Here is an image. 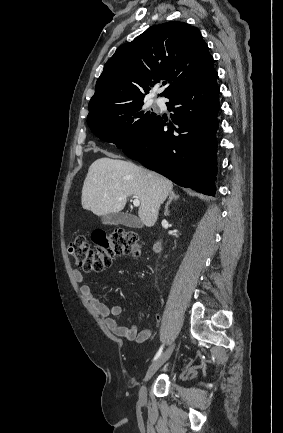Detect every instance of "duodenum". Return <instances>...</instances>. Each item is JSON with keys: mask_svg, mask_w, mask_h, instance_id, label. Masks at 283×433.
Masks as SVG:
<instances>
[{"mask_svg": "<svg viewBox=\"0 0 283 433\" xmlns=\"http://www.w3.org/2000/svg\"><path fill=\"white\" fill-rule=\"evenodd\" d=\"M153 249L155 252H159L161 250V244L159 241H156L153 245Z\"/></svg>", "mask_w": 283, "mask_h": 433, "instance_id": "410a0bca", "label": "duodenum"}]
</instances>
